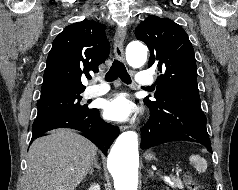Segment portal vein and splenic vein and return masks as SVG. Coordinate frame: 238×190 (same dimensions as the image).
<instances>
[{
	"label": "portal vein and splenic vein",
	"instance_id": "1",
	"mask_svg": "<svg viewBox=\"0 0 238 190\" xmlns=\"http://www.w3.org/2000/svg\"><path fill=\"white\" fill-rule=\"evenodd\" d=\"M181 171L180 169L177 170V172ZM167 182H170V179H166Z\"/></svg>",
	"mask_w": 238,
	"mask_h": 190
}]
</instances>
